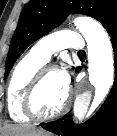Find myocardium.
Listing matches in <instances>:
<instances>
[{
  "label": "myocardium",
  "mask_w": 117,
  "mask_h": 136,
  "mask_svg": "<svg viewBox=\"0 0 117 136\" xmlns=\"http://www.w3.org/2000/svg\"><path fill=\"white\" fill-rule=\"evenodd\" d=\"M52 71H58L57 67L54 65H44L34 75V77L32 78L31 82L27 86L24 93L23 111L27 116L37 121H48V120H52L59 117L69 108L72 101V93L68 89L66 98L62 106L57 111L49 115H41L37 112L35 107V96H36L37 90L39 86L41 85V83L43 82V80L46 78V76Z\"/></svg>",
  "instance_id": "myocardium-1"
}]
</instances>
